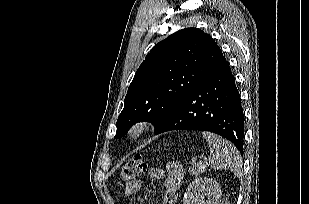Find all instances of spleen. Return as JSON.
<instances>
[{
    "instance_id": "1",
    "label": "spleen",
    "mask_w": 309,
    "mask_h": 204,
    "mask_svg": "<svg viewBox=\"0 0 309 204\" xmlns=\"http://www.w3.org/2000/svg\"><path fill=\"white\" fill-rule=\"evenodd\" d=\"M209 144V165L214 170L230 169L236 176L241 175L242 159L237 149L226 139L210 132H203Z\"/></svg>"
}]
</instances>
